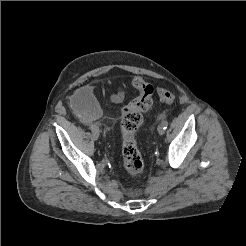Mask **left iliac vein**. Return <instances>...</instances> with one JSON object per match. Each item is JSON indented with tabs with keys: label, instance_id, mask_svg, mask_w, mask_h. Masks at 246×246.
I'll return each instance as SVG.
<instances>
[{
	"label": "left iliac vein",
	"instance_id": "4c4485c4",
	"mask_svg": "<svg viewBox=\"0 0 246 246\" xmlns=\"http://www.w3.org/2000/svg\"><path fill=\"white\" fill-rule=\"evenodd\" d=\"M157 130L160 135H163L165 133V129L163 125H159Z\"/></svg>",
	"mask_w": 246,
	"mask_h": 246
}]
</instances>
